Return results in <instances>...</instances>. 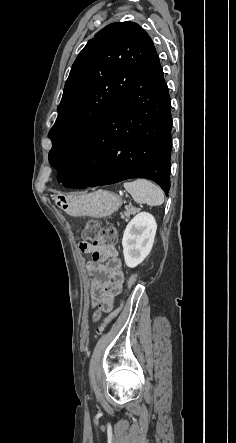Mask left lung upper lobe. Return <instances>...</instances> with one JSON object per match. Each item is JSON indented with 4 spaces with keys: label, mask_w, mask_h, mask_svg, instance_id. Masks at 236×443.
I'll return each mask as SVG.
<instances>
[{
    "label": "left lung upper lobe",
    "mask_w": 236,
    "mask_h": 443,
    "mask_svg": "<svg viewBox=\"0 0 236 443\" xmlns=\"http://www.w3.org/2000/svg\"><path fill=\"white\" fill-rule=\"evenodd\" d=\"M154 51L149 35L134 22L109 24L88 41L72 65L49 131L54 168L59 171L74 158Z\"/></svg>",
    "instance_id": "5c2ea615"
}]
</instances>
